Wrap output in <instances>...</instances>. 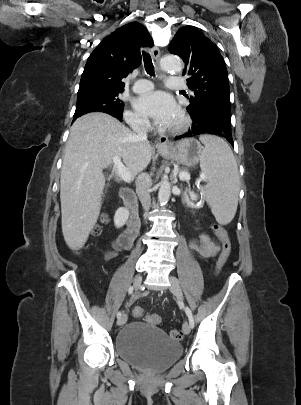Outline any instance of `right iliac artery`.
Here are the masks:
<instances>
[{
    "instance_id": "right-iliac-artery-1",
    "label": "right iliac artery",
    "mask_w": 301,
    "mask_h": 405,
    "mask_svg": "<svg viewBox=\"0 0 301 405\" xmlns=\"http://www.w3.org/2000/svg\"><path fill=\"white\" fill-rule=\"evenodd\" d=\"M133 291H134V287L131 286V287L128 289V294H132ZM121 315H122V313H121V311H119V312L117 313V318H120Z\"/></svg>"
}]
</instances>
